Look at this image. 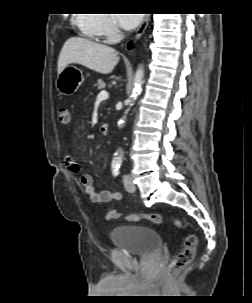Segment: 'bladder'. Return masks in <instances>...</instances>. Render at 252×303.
<instances>
[{
  "label": "bladder",
  "mask_w": 252,
  "mask_h": 303,
  "mask_svg": "<svg viewBox=\"0 0 252 303\" xmlns=\"http://www.w3.org/2000/svg\"><path fill=\"white\" fill-rule=\"evenodd\" d=\"M110 239L114 246L134 257H147L161 251L159 232L145 225H121L112 229Z\"/></svg>",
  "instance_id": "31cf9c89"
}]
</instances>
